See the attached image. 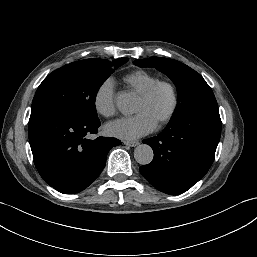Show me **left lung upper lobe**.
<instances>
[{"label":"left lung upper lobe","instance_id":"1","mask_svg":"<svg viewBox=\"0 0 257 257\" xmlns=\"http://www.w3.org/2000/svg\"><path fill=\"white\" fill-rule=\"evenodd\" d=\"M139 67H155L176 85L178 102L170 122L179 120L208 105H217L212 89L203 77L189 66L172 59L150 57L135 60Z\"/></svg>","mask_w":257,"mask_h":257}]
</instances>
